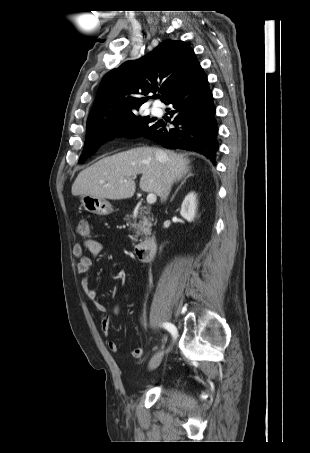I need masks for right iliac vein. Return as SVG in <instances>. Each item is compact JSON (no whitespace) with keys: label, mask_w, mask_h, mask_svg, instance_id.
<instances>
[{"label":"right iliac vein","mask_w":310,"mask_h":453,"mask_svg":"<svg viewBox=\"0 0 310 453\" xmlns=\"http://www.w3.org/2000/svg\"><path fill=\"white\" fill-rule=\"evenodd\" d=\"M162 361V355L160 352L154 355V357L151 359L149 362L148 368L149 370H154L156 369Z\"/></svg>","instance_id":"1"}]
</instances>
